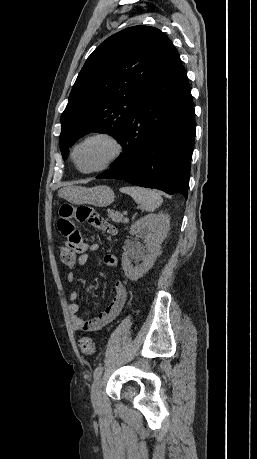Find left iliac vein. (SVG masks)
Segmentation results:
<instances>
[{
	"label": "left iliac vein",
	"instance_id": "obj_1",
	"mask_svg": "<svg viewBox=\"0 0 257 459\" xmlns=\"http://www.w3.org/2000/svg\"><path fill=\"white\" fill-rule=\"evenodd\" d=\"M101 388L102 380L97 378L91 388V401L95 408H100L102 405Z\"/></svg>",
	"mask_w": 257,
	"mask_h": 459
}]
</instances>
